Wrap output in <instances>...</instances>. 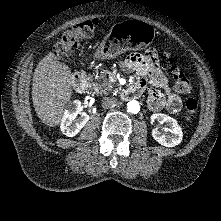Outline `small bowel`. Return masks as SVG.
<instances>
[{
	"instance_id": "small-bowel-1",
	"label": "small bowel",
	"mask_w": 221,
	"mask_h": 221,
	"mask_svg": "<svg viewBox=\"0 0 221 221\" xmlns=\"http://www.w3.org/2000/svg\"><path fill=\"white\" fill-rule=\"evenodd\" d=\"M120 67L125 72H136L140 80L136 85L143 91L147 83L151 85L148 89V105L151 110L159 111L166 108L170 113H177L182 108L181 93L175 86L173 90L160 68L152 61L147 53H131L123 61Z\"/></svg>"
}]
</instances>
